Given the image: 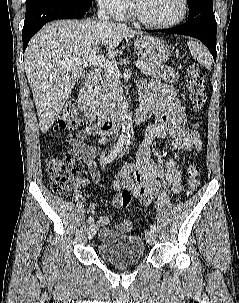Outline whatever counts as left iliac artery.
I'll list each match as a JSON object with an SVG mask.
<instances>
[{"label":"left iliac artery","instance_id":"1","mask_svg":"<svg viewBox=\"0 0 239 303\" xmlns=\"http://www.w3.org/2000/svg\"><path fill=\"white\" fill-rule=\"evenodd\" d=\"M127 150H128V147H127ZM150 229H151L152 231H156V225H155V224L151 225Z\"/></svg>","mask_w":239,"mask_h":303}]
</instances>
